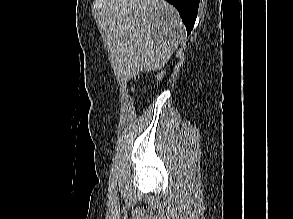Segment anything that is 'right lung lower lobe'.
<instances>
[{
    "instance_id": "right-lung-lower-lobe-1",
    "label": "right lung lower lobe",
    "mask_w": 293,
    "mask_h": 219,
    "mask_svg": "<svg viewBox=\"0 0 293 219\" xmlns=\"http://www.w3.org/2000/svg\"><path fill=\"white\" fill-rule=\"evenodd\" d=\"M177 8L187 29V35L193 29L200 0H166Z\"/></svg>"
}]
</instances>
